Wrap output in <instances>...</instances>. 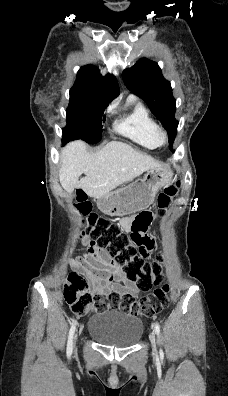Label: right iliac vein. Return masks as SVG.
<instances>
[{"label": "right iliac vein", "instance_id": "1", "mask_svg": "<svg viewBox=\"0 0 228 396\" xmlns=\"http://www.w3.org/2000/svg\"><path fill=\"white\" fill-rule=\"evenodd\" d=\"M77 339H78V334H76L74 337V344L76 343Z\"/></svg>", "mask_w": 228, "mask_h": 396}]
</instances>
